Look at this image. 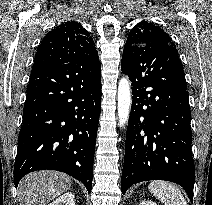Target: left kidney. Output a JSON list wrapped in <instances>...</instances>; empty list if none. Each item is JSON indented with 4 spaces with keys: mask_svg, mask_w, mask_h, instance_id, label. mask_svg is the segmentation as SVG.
Returning <instances> with one entry per match:
<instances>
[{
    "mask_svg": "<svg viewBox=\"0 0 212 205\" xmlns=\"http://www.w3.org/2000/svg\"><path fill=\"white\" fill-rule=\"evenodd\" d=\"M140 205H157V204L150 200H144L140 203Z\"/></svg>",
    "mask_w": 212,
    "mask_h": 205,
    "instance_id": "5707ae66",
    "label": "left kidney"
}]
</instances>
